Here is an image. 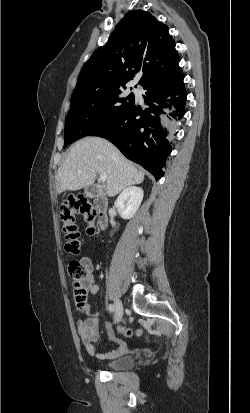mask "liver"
Segmentation results:
<instances>
[{"mask_svg":"<svg viewBox=\"0 0 250 413\" xmlns=\"http://www.w3.org/2000/svg\"><path fill=\"white\" fill-rule=\"evenodd\" d=\"M97 174H105L109 197L126 187L140 184L144 173L109 141L100 137H85L70 149L56 174L57 192L76 191L92 186Z\"/></svg>","mask_w":250,"mask_h":413,"instance_id":"liver-1","label":"liver"}]
</instances>
